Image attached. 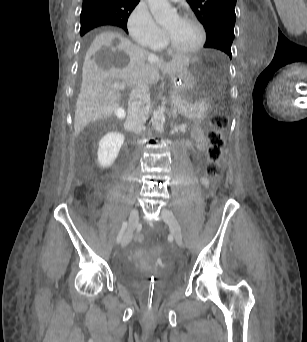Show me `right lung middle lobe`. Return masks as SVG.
<instances>
[{"label": "right lung middle lobe", "mask_w": 307, "mask_h": 342, "mask_svg": "<svg viewBox=\"0 0 307 342\" xmlns=\"http://www.w3.org/2000/svg\"><path fill=\"white\" fill-rule=\"evenodd\" d=\"M80 21V34L84 35L86 32L95 27L111 24L114 21V17L104 12L82 11Z\"/></svg>", "instance_id": "right-lung-middle-lobe-1"}]
</instances>
